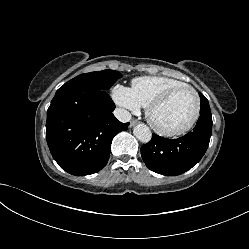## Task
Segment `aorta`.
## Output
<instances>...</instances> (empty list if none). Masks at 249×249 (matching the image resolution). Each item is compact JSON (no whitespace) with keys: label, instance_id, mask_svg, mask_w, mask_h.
<instances>
[{"label":"aorta","instance_id":"762f6f07","mask_svg":"<svg viewBox=\"0 0 249 249\" xmlns=\"http://www.w3.org/2000/svg\"><path fill=\"white\" fill-rule=\"evenodd\" d=\"M133 133L135 137L143 143H148L152 137L150 128L143 123L137 124L134 127Z\"/></svg>","mask_w":249,"mask_h":249}]
</instances>
